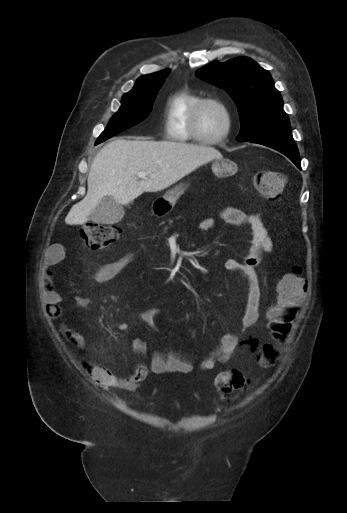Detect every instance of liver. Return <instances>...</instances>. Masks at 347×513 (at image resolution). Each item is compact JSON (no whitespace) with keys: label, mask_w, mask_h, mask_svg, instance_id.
Here are the masks:
<instances>
[{"label":"liver","mask_w":347,"mask_h":513,"mask_svg":"<svg viewBox=\"0 0 347 513\" xmlns=\"http://www.w3.org/2000/svg\"><path fill=\"white\" fill-rule=\"evenodd\" d=\"M222 158L213 147L171 141L117 139L106 144L94 158L85 198L72 206L66 224L82 225L103 197L121 205L144 192L161 191L190 174L197 167ZM139 172L148 173L139 180Z\"/></svg>","instance_id":"1"}]
</instances>
